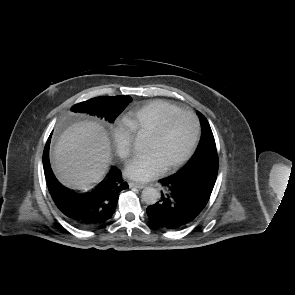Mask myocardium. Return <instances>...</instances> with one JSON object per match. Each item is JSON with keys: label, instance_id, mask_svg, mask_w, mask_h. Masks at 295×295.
I'll return each instance as SVG.
<instances>
[{"label": "myocardium", "instance_id": "obj_1", "mask_svg": "<svg viewBox=\"0 0 295 295\" xmlns=\"http://www.w3.org/2000/svg\"><path fill=\"white\" fill-rule=\"evenodd\" d=\"M179 115H187L192 118V120L194 122V127H195L194 136H193L192 142H191L190 147L187 150V152L180 159L175 161L174 163L164 167V169H163L164 172H169V171L175 170V169L179 168L180 166H182L184 163H186L190 159V157L193 155V153L195 152L196 147L198 145L199 138H200L201 127H200L199 119L194 112L189 111V110H179V111L173 112V113L167 115L166 117H164L161 120V122L158 124V126L149 134V137L153 138V139L160 138L164 134L168 123L173 118H175Z\"/></svg>", "mask_w": 295, "mask_h": 295}]
</instances>
